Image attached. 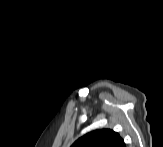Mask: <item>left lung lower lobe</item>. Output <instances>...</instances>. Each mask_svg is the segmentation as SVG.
<instances>
[{
    "label": "left lung lower lobe",
    "mask_w": 163,
    "mask_h": 147,
    "mask_svg": "<svg viewBox=\"0 0 163 147\" xmlns=\"http://www.w3.org/2000/svg\"><path fill=\"white\" fill-rule=\"evenodd\" d=\"M117 147H125V144L123 142V140L121 139V141L119 142L118 146Z\"/></svg>",
    "instance_id": "obj_1"
}]
</instances>
